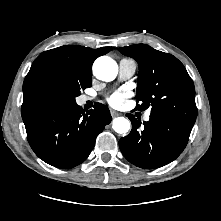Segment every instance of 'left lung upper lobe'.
<instances>
[{"instance_id":"obj_1","label":"left lung upper lobe","mask_w":221,"mask_h":221,"mask_svg":"<svg viewBox=\"0 0 221 221\" xmlns=\"http://www.w3.org/2000/svg\"><path fill=\"white\" fill-rule=\"evenodd\" d=\"M118 50L138 62V109L151 107V114L195 123L197 107L194 83L176 57L146 44L121 47Z\"/></svg>"}]
</instances>
